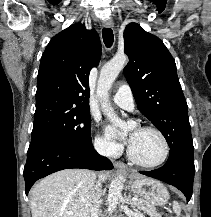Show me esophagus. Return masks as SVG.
<instances>
[{
	"label": "esophagus",
	"mask_w": 211,
	"mask_h": 217,
	"mask_svg": "<svg viewBox=\"0 0 211 217\" xmlns=\"http://www.w3.org/2000/svg\"><path fill=\"white\" fill-rule=\"evenodd\" d=\"M103 26L105 28H113L114 23L111 19H106L103 21ZM114 166L120 170H126V165L123 162L120 161H114Z\"/></svg>",
	"instance_id": "esophagus-1"
}]
</instances>
